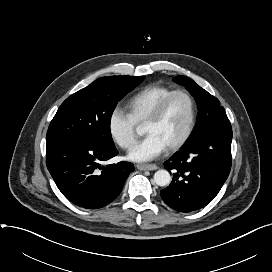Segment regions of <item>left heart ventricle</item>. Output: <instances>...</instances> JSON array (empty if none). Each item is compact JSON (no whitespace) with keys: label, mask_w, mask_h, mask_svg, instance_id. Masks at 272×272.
Segmentation results:
<instances>
[{"label":"left heart ventricle","mask_w":272,"mask_h":272,"mask_svg":"<svg viewBox=\"0 0 272 272\" xmlns=\"http://www.w3.org/2000/svg\"><path fill=\"white\" fill-rule=\"evenodd\" d=\"M188 120L189 103L184 96L178 95L171 100L158 122L145 125V133L159 137L167 148L181 138Z\"/></svg>","instance_id":"b2bd125f"}]
</instances>
